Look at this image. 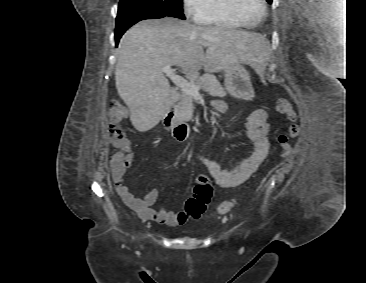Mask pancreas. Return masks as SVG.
I'll use <instances>...</instances> for the list:
<instances>
[{
    "instance_id": "cf45deb5",
    "label": "pancreas",
    "mask_w": 366,
    "mask_h": 283,
    "mask_svg": "<svg viewBox=\"0 0 366 283\" xmlns=\"http://www.w3.org/2000/svg\"><path fill=\"white\" fill-rule=\"evenodd\" d=\"M189 78L190 81L199 85L200 89L208 92L213 97L226 96L225 89L212 75L206 74L202 77H198L197 75H190ZM177 107L180 118L184 121H190L193 116V95L182 92Z\"/></svg>"
}]
</instances>
